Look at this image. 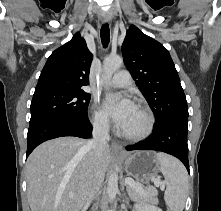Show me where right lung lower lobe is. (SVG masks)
<instances>
[{
    "mask_svg": "<svg viewBox=\"0 0 221 211\" xmlns=\"http://www.w3.org/2000/svg\"><path fill=\"white\" fill-rule=\"evenodd\" d=\"M92 125L87 117L46 116L30 122L26 157L44 141L62 136L90 138Z\"/></svg>",
    "mask_w": 221,
    "mask_h": 211,
    "instance_id": "98d812e1",
    "label": "right lung lower lobe"
}]
</instances>
